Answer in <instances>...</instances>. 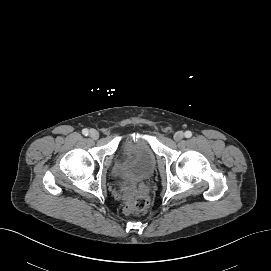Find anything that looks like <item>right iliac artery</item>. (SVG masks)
Segmentation results:
<instances>
[{
	"mask_svg": "<svg viewBox=\"0 0 271 271\" xmlns=\"http://www.w3.org/2000/svg\"><path fill=\"white\" fill-rule=\"evenodd\" d=\"M82 133H83V135L87 136L89 134V131H88V129H83Z\"/></svg>",
	"mask_w": 271,
	"mask_h": 271,
	"instance_id": "82829eb1",
	"label": "right iliac artery"
}]
</instances>
